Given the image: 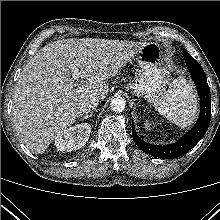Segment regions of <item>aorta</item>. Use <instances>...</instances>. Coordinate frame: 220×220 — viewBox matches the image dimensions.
I'll return each mask as SVG.
<instances>
[{
    "label": "aorta",
    "instance_id": "762f6f07",
    "mask_svg": "<svg viewBox=\"0 0 220 220\" xmlns=\"http://www.w3.org/2000/svg\"><path fill=\"white\" fill-rule=\"evenodd\" d=\"M111 109L115 112H122L125 109L126 101L123 97H115L111 100Z\"/></svg>",
    "mask_w": 220,
    "mask_h": 220
}]
</instances>
